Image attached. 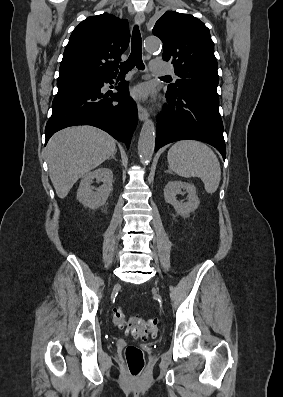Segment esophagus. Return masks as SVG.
I'll return each instance as SVG.
<instances>
[{"label": "esophagus", "mask_w": 283, "mask_h": 397, "mask_svg": "<svg viewBox=\"0 0 283 397\" xmlns=\"http://www.w3.org/2000/svg\"><path fill=\"white\" fill-rule=\"evenodd\" d=\"M144 21H145V16H144V14H143L142 12L136 13V15H135V22H136L138 25H141V24L144 23ZM137 108H138V116H139V119H140L141 121H144L145 119H147V117H148V111H147V109L144 108L141 104H138V105H137Z\"/></svg>", "instance_id": "1"}]
</instances>
